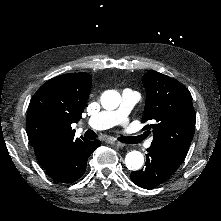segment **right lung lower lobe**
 <instances>
[{"label":"right lung lower lobe","instance_id":"1","mask_svg":"<svg viewBox=\"0 0 221 221\" xmlns=\"http://www.w3.org/2000/svg\"><path fill=\"white\" fill-rule=\"evenodd\" d=\"M100 145L99 140L79 139L60 151L56 157L42 167L55 181L73 183L84 174L89 156Z\"/></svg>","mask_w":221,"mask_h":221}]
</instances>
